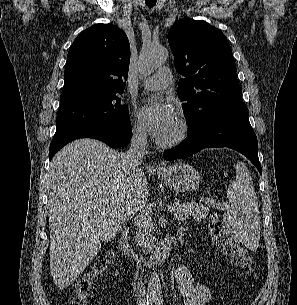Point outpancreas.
Masks as SVG:
<instances>
[{
	"label": "pancreas",
	"mask_w": 297,
	"mask_h": 305,
	"mask_svg": "<svg viewBox=\"0 0 297 305\" xmlns=\"http://www.w3.org/2000/svg\"><path fill=\"white\" fill-rule=\"evenodd\" d=\"M203 203L207 206L205 207ZM212 205L213 202L209 198H200L199 202L191 201L175 205L174 218L178 221H184L189 216H192L195 220H202L206 218ZM154 232L155 226L150 216H146L136 236V240L143 250H151L154 247L156 240Z\"/></svg>",
	"instance_id": "1"
}]
</instances>
